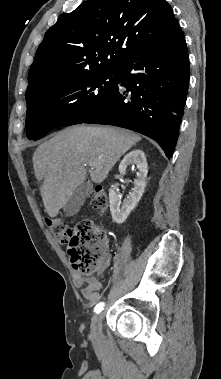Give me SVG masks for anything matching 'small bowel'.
<instances>
[{
    "label": "small bowel",
    "mask_w": 221,
    "mask_h": 379,
    "mask_svg": "<svg viewBox=\"0 0 221 379\" xmlns=\"http://www.w3.org/2000/svg\"><path fill=\"white\" fill-rule=\"evenodd\" d=\"M110 254L106 252L99 262L98 273L101 275L110 263ZM74 284L81 289L82 296L90 303H96L99 300L100 280L97 277H85L79 273L74 275Z\"/></svg>",
    "instance_id": "c3829d8e"
}]
</instances>
